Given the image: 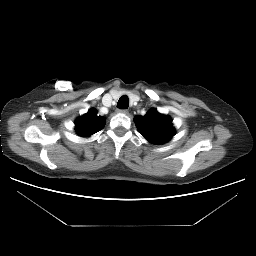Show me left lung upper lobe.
<instances>
[{
	"mask_svg": "<svg viewBox=\"0 0 256 256\" xmlns=\"http://www.w3.org/2000/svg\"><path fill=\"white\" fill-rule=\"evenodd\" d=\"M134 121L139 133L151 143H165L174 135L171 118L156 109L149 110L143 117L136 116Z\"/></svg>",
	"mask_w": 256,
	"mask_h": 256,
	"instance_id": "left-lung-upper-lobe-1",
	"label": "left lung upper lobe"
}]
</instances>
